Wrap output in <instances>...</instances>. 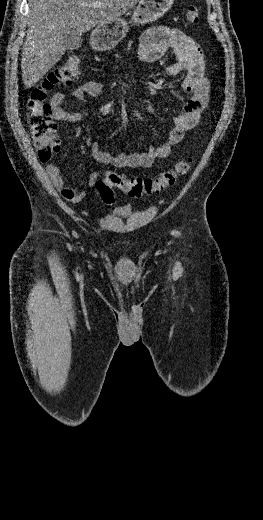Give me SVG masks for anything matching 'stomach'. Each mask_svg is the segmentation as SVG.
<instances>
[{
    "label": "stomach",
    "mask_w": 263,
    "mask_h": 520,
    "mask_svg": "<svg viewBox=\"0 0 263 520\" xmlns=\"http://www.w3.org/2000/svg\"><path fill=\"white\" fill-rule=\"evenodd\" d=\"M174 0H140L134 10L130 23L144 25L162 17L173 5ZM128 22L117 19L98 25L91 33L90 43L97 51L115 48L128 33Z\"/></svg>",
    "instance_id": "stomach-1"
}]
</instances>
